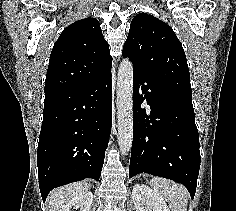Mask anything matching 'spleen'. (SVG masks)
I'll return each instance as SVG.
<instances>
[{
    "mask_svg": "<svg viewBox=\"0 0 236 211\" xmlns=\"http://www.w3.org/2000/svg\"><path fill=\"white\" fill-rule=\"evenodd\" d=\"M150 185L158 196L168 202L171 211H187L188 194L182 185L160 177L152 178Z\"/></svg>",
    "mask_w": 236,
    "mask_h": 211,
    "instance_id": "1",
    "label": "spleen"
}]
</instances>
